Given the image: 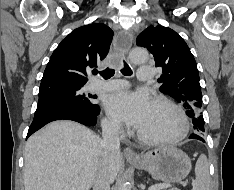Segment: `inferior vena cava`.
I'll list each match as a JSON object with an SVG mask.
<instances>
[{"label": "inferior vena cava", "instance_id": "obj_1", "mask_svg": "<svg viewBox=\"0 0 234 190\" xmlns=\"http://www.w3.org/2000/svg\"><path fill=\"white\" fill-rule=\"evenodd\" d=\"M120 124L118 122H103L101 147L103 149V163L99 166L94 181L93 190H110V175L107 166L110 154L120 152Z\"/></svg>", "mask_w": 234, "mask_h": 190}]
</instances>
